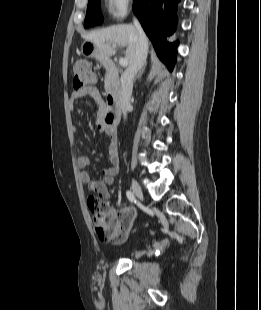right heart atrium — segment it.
<instances>
[{
  "label": "right heart atrium",
  "mask_w": 261,
  "mask_h": 310,
  "mask_svg": "<svg viewBox=\"0 0 261 310\" xmlns=\"http://www.w3.org/2000/svg\"><path fill=\"white\" fill-rule=\"evenodd\" d=\"M134 0H106L109 16L113 20H122L132 8Z\"/></svg>",
  "instance_id": "d8ad5b80"
}]
</instances>
